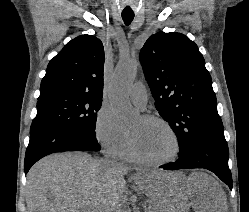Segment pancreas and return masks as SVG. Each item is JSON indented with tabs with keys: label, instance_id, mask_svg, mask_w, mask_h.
Wrapping results in <instances>:
<instances>
[{
	"label": "pancreas",
	"instance_id": "obj_1",
	"mask_svg": "<svg viewBox=\"0 0 249 212\" xmlns=\"http://www.w3.org/2000/svg\"><path fill=\"white\" fill-rule=\"evenodd\" d=\"M144 212H161V210L157 204H151L149 208H145Z\"/></svg>",
	"mask_w": 249,
	"mask_h": 212
}]
</instances>
